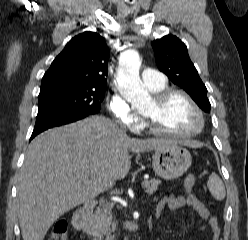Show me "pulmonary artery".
Wrapping results in <instances>:
<instances>
[{"label":"pulmonary artery","mask_w":248,"mask_h":240,"mask_svg":"<svg viewBox=\"0 0 248 240\" xmlns=\"http://www.w3.org/2000/svg\"><path fill=\"white\" fill-rule=\"evenodd\" d=\"M141 79L143 83L150 88L166 84V78L164 75L161 72L150 68H145L142 70Z\"/></svg>","instance_id":"1"}]
</instances>
